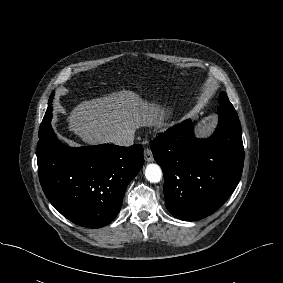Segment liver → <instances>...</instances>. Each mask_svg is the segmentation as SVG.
<instances>
[{"label":"liver","mask_w":283,"mask_h":283,"mask_svg":"<svg viewBox=\"0 0 283 283\" xmlns=\"http://www.w3.org/2000/svg\"><path fill=\"white\" fill-rule=\"evenodd\" d=\"M164 110L132 91L122 90L85 100L69 114L68 129L83 143H109L112 136L140 127L161 126Z\"/></svg>","instance_id":"obj_1"}]
</instances>
